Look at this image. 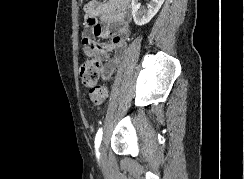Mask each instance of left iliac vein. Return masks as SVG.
I'll return each instance as SVG.
<instances>
[{
	"label": "left iliac vein",
	"instance_id": "1",
	"mask_svg": "<svg viewBox=\"0 0 244 179\" xmlns=\"http://www.w3.org/2000/svg\"><path fill=\"white\" fill-rule=\"evenodd\" d=\"M99 156H100L101 160H103V161L106 160V149H105L104 143H102L101 146H100Z\"/></svg>",
	"mask_w": 244,
	"mask_h": 179
}]
</instances>
